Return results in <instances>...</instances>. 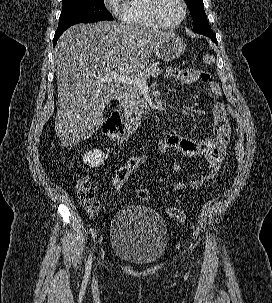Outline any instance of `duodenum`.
<instances>
[{
  "mask_svg": "<svg viewBox=\"0 0 272 303\" xmlns=\"http://www.w3.org/2000/svg\"><path fill=\"white\" fill-rule=\"evenodd\" d=\"M117 106L112 110L104 124L103 131L117 142L127 141L140 122V113L137 110L126 109L123 105V89L116 86Z\"/></svg>",
  "mask_w": 272,
  "mask_h": 303,
  "instance_id": "1",
  "label": "duodenum"
}]
</instances>
